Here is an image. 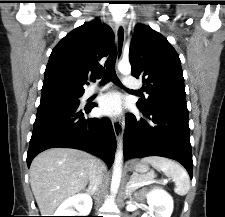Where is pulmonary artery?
Returning <instances> with one entry per match:
<instances>
[{
	"instance_id": "e3ab8cb5",
	"label": "pulmonary artery",
	"mask_w": 225,
	"mask_h": 217,
	"mask_svg": "<svg viewBox=\"0 0 225 217\" xmlns=\"http://www.w3.org/2000/svg\"><path fill=\"white\" fill-rule=\"evenodd\" d=\"M124 83L129 88H137L138 87L137 83L132 78H125ZM107 87H108V85L90 86L86 91V96L89 97L99 91L106 89Z\"/></svg>"
}]
</instances>
